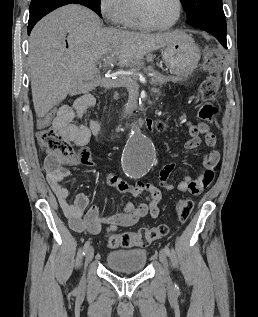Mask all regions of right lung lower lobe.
<instances>
[{"mask_svg": "<svg viewBox=\"0 0 258 317\" xmlns=\"http://www.w3.org/2000/svg\"><path fill=\"white\" fill-rule=\"evenodd\" d=\"M71 3L84 5L102 17L100 6H98L93 0H32L29 7L30 17L28 21V35L34 25L46 14L58 7Z\"/></svg>", "mask_w": 258, "mask_h": 317, "instance_id": "obj_1", "label": "right lung lower lobe"}]
</instances>
